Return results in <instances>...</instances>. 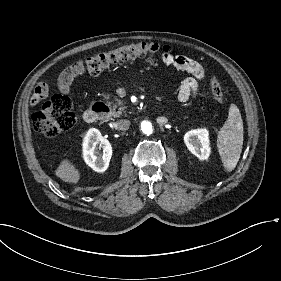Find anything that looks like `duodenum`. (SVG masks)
Segmentation results:
<instances>
[{
	"label": "duodenum",
	"mask_w": 281,
	"mask_h": 281,
	"mask_svg": "<svg viewBox=\"0 0 281 281\" xmlns=\"http://www.w3.org/2000/svg\"><path fill=\"white\" fill-rule=\"evenodd\" d=\"M107 112V105L104 101H96L84 113V121L89 124L98 122Z\"/></svg>",
	"instance_id": "1"
}]
</instances>
